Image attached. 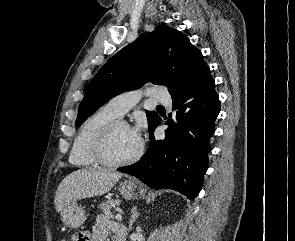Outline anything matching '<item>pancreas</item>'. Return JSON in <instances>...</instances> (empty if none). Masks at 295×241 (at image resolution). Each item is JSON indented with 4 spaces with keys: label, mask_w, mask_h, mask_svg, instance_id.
<instances>
[{
    "label": "pancreas",
    "mask_w": 295,
    "mask_h": 241,
    "mask_svg": "<svg viewBox=\"0 0 295 241\" xmlns=\"http://www.w3.org/2000/svg\"><path fill=\"white\" fill-rule=\"evenodd\" d=\"M99 209L108 217L114 218L112 210H118V202L116 200H109L99 205Z\"/></svg>",
    "instance_id": "1"
}]
</instances>
